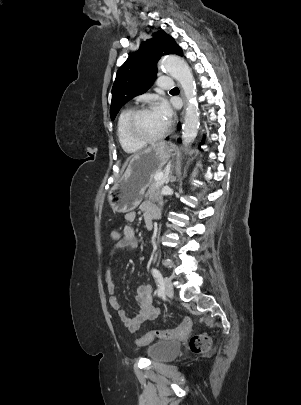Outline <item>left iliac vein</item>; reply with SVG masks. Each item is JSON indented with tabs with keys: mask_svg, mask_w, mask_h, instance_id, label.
I'll use <instances>...</instances> for the list:
<instances>
[{
	"mask_svg": "<svg viewBox=\"0 0 301 405\" xmlns=\"http://www.w3.org/2000/svg\"><path fill=\"white\" fill-rule=\"evenodd\" d=\"M163 282H164L165 295L168 297H173L174 289H173L171 279L169 277H164Z\"/></svg>",
	"mask_w": 301,
	"mask_h": 405,
	"instance_id": "1",
	"label": "left iliac vein"
}]
</instances>
